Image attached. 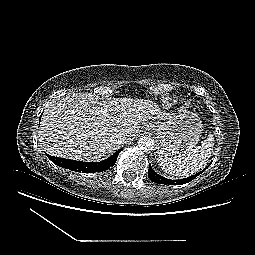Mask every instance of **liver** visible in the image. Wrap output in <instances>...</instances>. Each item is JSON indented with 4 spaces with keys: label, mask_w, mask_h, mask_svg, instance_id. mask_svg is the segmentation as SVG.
I'll return each mask as SVG.
<instances>
[{
    "label": "liver",
    "mask_w": 255,
    "mask_h": 255,
    "mask_svg": "<svg viewBox=\"0 0 255 255\" xmlns=\"http://www.w3.org/2000/svg\"><path fill=\"white\" fill-rule=\"evenodd\" d=\"M171 114L153 101L138 98H112L100 101L96 94L66 95L50 101L40 128L41 148L50 155L81 161H100L126 140L135 136L148 120H167Z\"/></svg>",
    "instance_id": "6515ba94"
}]
</instances>
